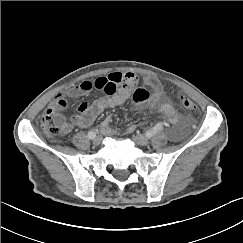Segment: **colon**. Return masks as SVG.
Returning a JSON list of instances; mask_svg holds the SVG:
<instances>
[{"instance_id": "colon-1", "label": "colon", "mask_w": 243, "mask_h": 243, "mask_svg": "<svg viewBox=\"0 0 243 243\" xmlns=\"http://www.w3.org/2000/svg\"><path fill=\"white\" fill-rule=\"evenodd\" d=\"M180 102L183 108L187 111L191 113L198 112L197 106L190 99L181 97ZM41 126L49 135L52 136H57L64 133L63 121L57 123L56 114L52 111L46 112L41 118Z\"/></svg>"}]
</instances>
